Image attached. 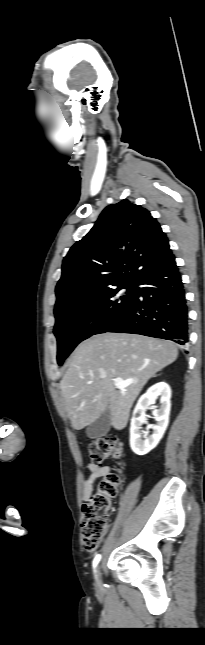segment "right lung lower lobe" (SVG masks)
<instances>
[{"label":"right lung lower lobe","mask_w":205,"mask_h":645,"mask_svg":"<svg viewBox=\"0 0 205 645\" xmlns=\"http://www.w3.org/2000/svg\"><path fill=\"white\" fill-rule=\"evenodd\" d=\"M104 332L141 334L187 345L188 308L175 258L139 277L133 284L131 304Z\"/></svg>","instance_id":"right-lung-lower-lobe-1"}]
</instances>
